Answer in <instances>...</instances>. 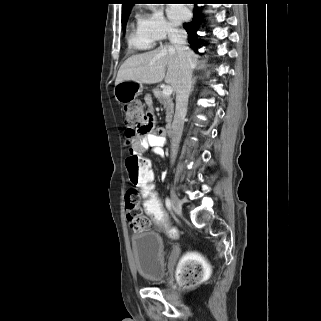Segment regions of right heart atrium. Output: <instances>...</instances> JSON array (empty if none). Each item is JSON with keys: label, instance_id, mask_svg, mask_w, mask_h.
<instances>
[{"label": "right heart atrium", "instance_id": "1", "mask_svg": "<svg viewBox=\"0 0 321 321\" xmlns=\"http://www.w3.org/2000/svg\"><path fill=\"white\" fill-rule=\"evenodd\" d=\"M138 26L155 41H161L176 33V29L157 9H148L138 16Z\"/></svg>", "mask_w": 321, "mask_h": 321}]
</instances>
